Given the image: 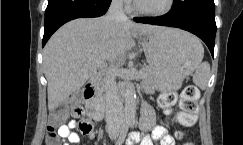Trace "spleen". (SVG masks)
<instances>
[{"instance_id": "3e777b00", "label": "spleen", "mask_w": 243, "mask_h": 145, "mask_svg": "<svg viewBox=\"0 0 243 145\" xmlns=\"http://www.w3.org/2000/svg\"><path fill=\"white\" fill-rule=\"evenodd\" d=\"M203 48L201 49L199 61L196 67V71L193 75V82L196 86H198L200 89L204 90L206 89L208 85V81L210 78V65L208 62L201 63V60L203 58Z\"/></svg>"}]
</instances>
